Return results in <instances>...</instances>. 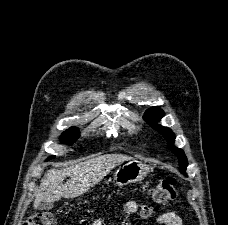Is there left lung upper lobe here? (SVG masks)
Wrapping results in <instances>:
<instances>
[{"label": "left lung upper lobe", "mask_w": 228, "mask_h": 225, "mask_svg": "<svg viewBox=\"0 0 228 225\" xmlns=\"http://www.w3.org/2000/svg\"><path fill=\"white\" fill-rule=\"evenodd\" d=\"M163 116H164L163 110H161L159 107H152L145 112L144 119L148 122V124L152 126L153 129H155L165 137L168 148L175 155H177L179 159L180 172L183 174H186L185 171L188 165V161L184 154V151L173 145L175 140L174 133L172 132L171 129L157 124V121H159Z\"/></svg>", "instance_id": "left-lung-upper-lobe-1"}]
</instances>
